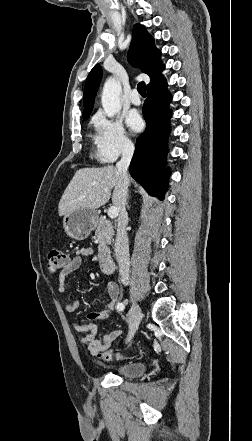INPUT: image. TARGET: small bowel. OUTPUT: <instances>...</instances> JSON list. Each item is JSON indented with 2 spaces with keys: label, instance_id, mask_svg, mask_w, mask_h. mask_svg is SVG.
Returning a JSON list of instances; mask_svg holds the SVG:
<instances>
[{
  "label": "small bowel",
  "instance_id": "small-bowel-1",
  "mask_svg": "<svg viewBox=\"0 0 252 441\" xmlns=\"http://www.w3.org/2000/svg\"><path fill=\"white\" fill-rule=\"evenodd\" d=\"M93 253L91 248H81L77 251L75 257L69 261L68 265L60 272L59 275V292L66 294L69 291V287L66 283L67 276L72 272L79 269L82 264L83 257L89 256ZM106 294L108 299L105 302V307L114 310L117 308V301L119 297L118 285L114 282H109L106 287ZM80 308L78 300H74L66 305V310L73 314ZM122 330H115L108 334H104L101 337H96L97 327L91 325L88 329V334L81 339V344L92 354L93 356L100 357L111 345L122 335Z\"/></svg>",
  "mask_w": 252,
  "mask_h": 441
}]
</instances>
